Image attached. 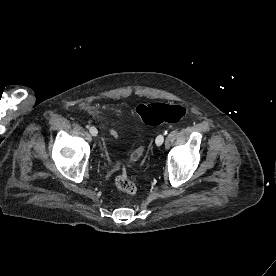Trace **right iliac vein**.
I'll return each instance as SVG.
<instances>
[{
  "instance_id": "right-iliac-vein-1",
  "label": "right iliac vein",
  "mask_w": 276,
  "mask_h": 276,
  "mask_svg": "<svg viewBox=\"0 0 276 276\" xmlns=\"http://www.w3.org/2000/svg\"><path fill=\"white\" fill-rule=\"evenodd\" d=\"M89 131H90L92 136H96L98 134L97 129L93 126L89 128Z\"/></svg>"
}]
</instances>
